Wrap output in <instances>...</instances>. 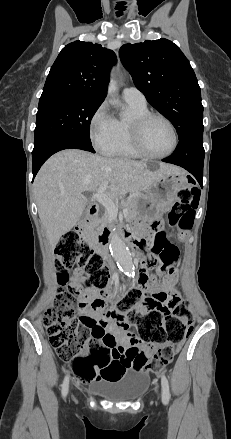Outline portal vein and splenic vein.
<instances>
[{"mask_svg":"<svg viewBox=\"0 0 231 439\" xmlns=\"http://www.w3.org/2000/svg\"><path fill=\"white\" fill-rule=\"evenodd\" d=\"M105 185L101 186L97 193L93 194L92 198L102 204L111 217H116L118 214V206L113 202L111 198L105 195ZM128 210H123V215H127Z\"/></svg>","mask_w":231,"mask_h":439,"instance_id":"portal-vein-and-splenic-vein-1","label":"portal vein and splenic vein"}]
</instances>
